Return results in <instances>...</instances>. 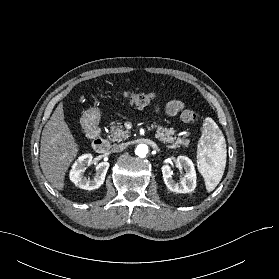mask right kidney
<instances>
[{"label":"right kidney","mask_w":279,"mask_h":279,"mask_svg":"<svg viewBox=\"0 0 279 279\" xmlns=\"http://www.w3.org/2000/svg\"><path fill=\"white\" fill-rule=\"evenodd\" d=\"M93 162V156L91 154L81 155L72 166L70 171V180L79 188L84 190L98 189L105 180L107 170L109 168L108 162H101L96 166V174L93 179L86 178L84 172L87 166Z\"/></svg>","instance_id":"1"}]
</instances>
